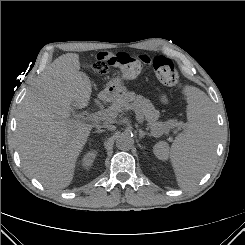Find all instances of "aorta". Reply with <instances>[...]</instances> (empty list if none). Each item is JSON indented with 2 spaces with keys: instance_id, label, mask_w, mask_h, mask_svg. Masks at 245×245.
I'll return each instance as SVG.
<instances>
[{
  "instance_id": "1",
  "label": "aorta",
  "mask_w": 245,
  "mask_h": 245,
  "mask_svg": "<svg viewBox=\"0 0 245 245\" xmlns=\"http://www.w3.org/2000/svg\"><path fill=\"white\" fill-rule=\"evenodd\" d=\"M134 144V139L129 133H122L116 139V146L120 150H129Z\"/></svg>"
}]
</instances>
